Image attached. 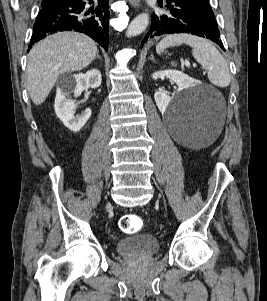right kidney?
<instances>
[{
  "instance_id": "1",
  "label": "right kidney",
  "mask_w": 267,
  "mask_h": 301,
  "mask_svg": "<svg viewBox=\"0 0 267 301\" xmlns=\"http://www.w3.org/2000/svg\"><path fill=\"white\" fill-rule=\"evenodd\" d=\"M101 80V72L98 69H92L85 74L74 75L70 83L63 84L57 89L55 113L69 130L73 132L81 130L92 112L86 109L81 115L74 116L75 102L68 99V96L74 93V96L78 97L87 88H97L101 85Z\"/></svg>"
}]
</instances>
